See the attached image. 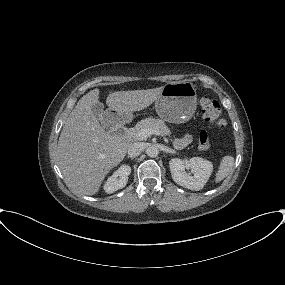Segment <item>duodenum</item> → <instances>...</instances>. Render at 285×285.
I'll use <instances>...</instances> for the list:
<instances>
[{"label":"duodenum","instance_id":"obj_1","mask_svg":"<svg viewBox=\"0 0 285 285\" xmlns=\"http://www.w3.org/2000/svg\"><path fill=\"white\" fill-rule=\"evenodd\" d=\"M111 132L119 137H123L125 133L124 125L120 122H113L111 126Z\"/></svg>","mask_w":285,"mask_h":285}]
</instances>
